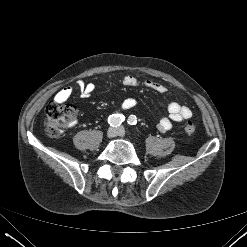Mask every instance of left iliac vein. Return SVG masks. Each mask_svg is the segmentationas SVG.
I'll list each match as a JSON object with an SVG mask.
<instances>
[{
    "instance_id": "4c4485c4",
    "label": "left iliac vein",
    "mask_w": 247,
    "mask_h": 247,
    "mask_svg": "<svg viewBox=\"0 0 247 247\" xmlns=\"http://www.w3.org/2000/svg\"><path fill=\"white\" fill-rule=\"evenodd\" d=\"M117 135L124 137L125 136V130L122 127L118 128L117 129Z\"/></svg>"
}]
</instances>
